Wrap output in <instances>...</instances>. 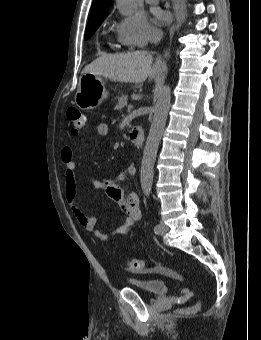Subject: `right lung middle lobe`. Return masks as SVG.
Segmentation results:
<instances>
[{"label":"right lung middle lobe","mask_w":261,"mask_h":340,"mask_svg":"<svg viewBox=\"0 0 261 340\" xmlns=\"http://www.w3.org/2000/svg\"><path fill=\"white\" fill-rule=\"evenodd\" d=\"M105 18L96 20L94 22H91L87 25L86 27V32H85V39H88L93 35V33L98 29L100 24L103 22Z\"/></svg>","instance_id":"1"}]
</instances>
